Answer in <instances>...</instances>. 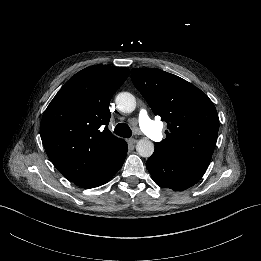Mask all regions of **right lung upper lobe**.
Listing matches in <instances>:
<instances>
[{"label":"right lung upper lobe","instance_id":"obj_1","mask_svg":"<svg viewBox=\"0 0 261 261\" xmlns=\"http://www.w3.org/2000/svg\"><path fill=\"white\" fill-rule=\"evenodd\" d=\"M125 67H87L60 89L40 125L45 151L68 180L76 182L104 168L127 143L109 130V102L127 79Z\"/></svg>","mask_w":261,"mask_h":261}]
</instances>
